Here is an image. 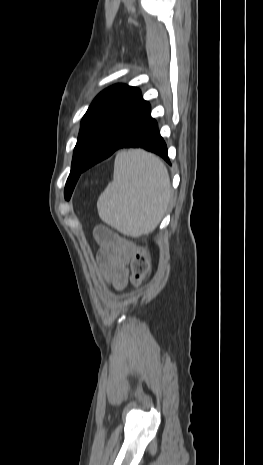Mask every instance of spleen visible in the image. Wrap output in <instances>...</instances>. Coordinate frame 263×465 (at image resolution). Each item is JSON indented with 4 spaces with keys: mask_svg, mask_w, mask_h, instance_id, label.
Returning a JSON list of instances; mask_svg holds the SVG:
<instances>
[{
    "mask_svg": "<svg viewBox=\"0 0 263 465\" xmlns=\"http://www.w3.org/2000/svg\"><path fill=\"white\" fill-rule=\"evenodd\" d=\"M170 195L169 174L159 158L141 150L122 151L115 159L113 181L98 199V213L119 232L139 237L159 223Z\"/></svg>",
    "mask_w": 263,
    "mask_h": 465,
    "instance_id": "spleen-1",
    "label": "spleen"
}]
</instances>
